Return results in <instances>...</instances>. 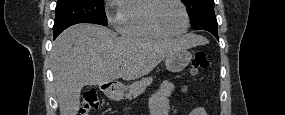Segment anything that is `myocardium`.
<instances>
[{
    "label": "myocardium",
    "mask_w": 285,
    "mask_h": 115,
    "mask_svg": "<svg viewBox=\"0 0 285 115\" xmlns=\"http://www.w3.org/2000/svg\"><path fill=\"white\" fill-rule=\"evenodd\" d=\"M164 1H170V0H155L153 6L151 7L150 13H149V21L151 23V25L161 34H163L166 37H179L184 35L188 29H189V25H190V17H189V12L185 6V4L181 1V0H172L175 3H177L183 11L184 17H185V25L184 28L176 33H172V32H168L167 30H165L157 21L156 18V12L157 9L159 7V5L164 2Z\"/></svg>",
    "instance_id": "myocardium-1"
}]
</instances>
